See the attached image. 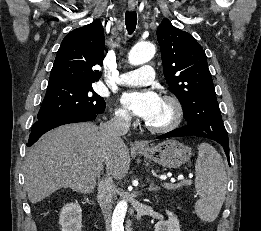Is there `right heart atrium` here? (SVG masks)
Listing matches in <instances>:
<instances>
[{
	"instance_id": "right-heart-atrium-1",
	"label": "right heart atrium",
	"mask_w": 261,
	"mask_h": 231,
	"mask_svg": "<svg viewBox=\"0 0 261 231\" xmlns=\"http://www.w3.org/2000/svg\"><path fill=\"white\" fill-rule=\"evenodd\" d=\"M113 121L121 127H128L131 122L130 113L123 107L115 110Z\"/></svg>"
}]
</instances>
